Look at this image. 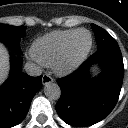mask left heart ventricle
Segmentation results:
<instances>
[{
    "label": "left heart ventricle",
    "mask_w": 128,
    "mask_h": 128,
    "mask_svg": "<svg viewBox=\"0 0 128 128\" xmlns=\"http://www.w3.org/2000/svg\"><path fill=\"white\" fill-rule=\"evenodd\" d=\"M89 44V36L87 33H79L75 40H74V43L72 45V49H71V55L73 57H78L80 56L84 51L85 49L87 48Z\"/></svg>",
    "instance_id": "b2bd125f"
}]
</instances>
